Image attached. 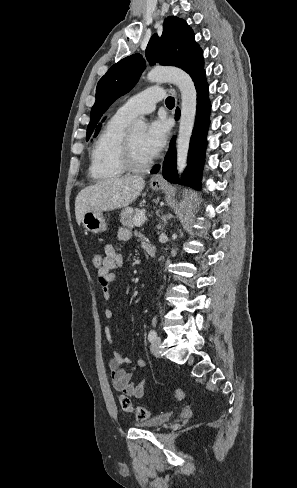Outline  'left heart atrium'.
I'll return each instance as SVG.
<instances>
[{
  "label": "left heart atrium",
  "instance_id": "left-heart-atrium-1",
  "mask_svg": "<svg viewBox=\"0 0 297 488\" xmlns=\"http://www.w3.org/2000/svg\"><path fill=\"white\" fill-rule=\"evenodd\" d=\"M169 127L162 118L151 121L144 134L142 145L150 158L155 157L165 146Z\"/></svg>",
  "mask_w": 297,
  "mask_h": 488
}]
</instances>
